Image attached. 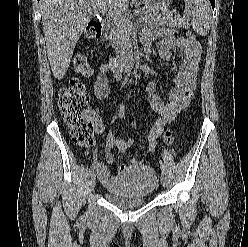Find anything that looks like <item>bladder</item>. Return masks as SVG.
I'll list each match as a JSON object with an SVG mask.
<instances>
[{
	"label": "bladder",
	"mask_w": 248,
	"mask_h": 247,
	"mask_svg": "<svg viewBox=\"0 0 248 247\" xmlns=\"http://www.w3.org/2000/svg\"><path fill=\"white\" fill-rule=\"evenodd\" d=\"M116 183L117 189L106 192V199L119 207H137L146 204L156 190L157 176L147 167H129L117 177Z\"/></svg>",
	"instance_id": "1"
}]
</instances>
